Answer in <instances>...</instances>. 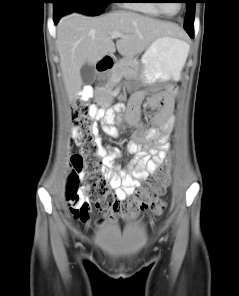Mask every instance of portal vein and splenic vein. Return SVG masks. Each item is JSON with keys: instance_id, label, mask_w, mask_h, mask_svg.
Wrapping results in <instances>:
<instances>
[{"instance_id": "1", "label": "portal vein and splenic vein", "mask_w": 239, "mask_h": 296, "mask_svg": "<svg viewBox=\"0 0 239 296\" xmlns=\"http://www.w3.org/2000/svg\"><path fill=\"white\" fill-rule=\"evenodd\" d=\"M111 36H112L113 38H117V37H126L124 34L119 33V32H112V33H111Z\"/></svg>"}]
</instances>
